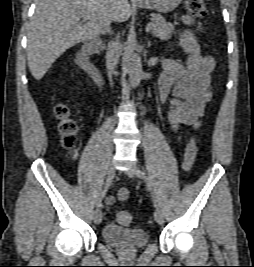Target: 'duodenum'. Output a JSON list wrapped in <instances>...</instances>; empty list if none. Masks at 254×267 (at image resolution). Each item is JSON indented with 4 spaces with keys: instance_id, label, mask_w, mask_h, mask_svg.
I'll use <instances>...</instances> for the list:
<instances>
[{
    "instance_id": "1",
    "label": "duodenum",
    "mask_w": 254,
    "mask_h": 267,
    "mask_svg": "<svg viewBox=\"0 0 254 267\" xmlns=\"http://www.w3.org/2000/svg\"><path fill=\"white\" fill-rule=\"evenodd\" d=\"M101 49V41L98 38L88 39L76 55L79 66L91 77L99 87L103 85V76L93 64L90 57Z\"/></svg>"
}]
</instances>
